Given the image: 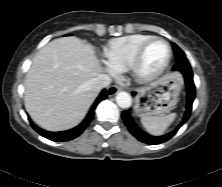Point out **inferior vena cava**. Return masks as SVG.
Here are the masks:
<instances>
[{
  "instance_id": "1",
  "label": "inferior vena cava",
  "mask_w": 222,
  "mask_h": 187,
  "mask_svg": "<svg viewBox=\"0 0 222 187\" xmlns=\"http://www.w3.org/2000/svg\"><path fill=\"white\" fill-rule=\"evenodd\" d=\"M111 81L110 76L99 74L96 78L91 80L90 85L91 88L98 93L101 89L108 87L111 84Z\"/></svg>"
}]
</instances>
